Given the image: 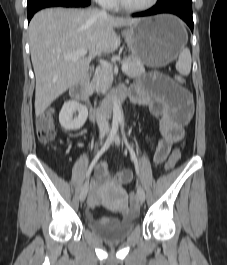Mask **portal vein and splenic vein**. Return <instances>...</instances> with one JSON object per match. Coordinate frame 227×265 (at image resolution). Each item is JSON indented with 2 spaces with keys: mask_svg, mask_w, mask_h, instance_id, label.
Wrapping results in <instances>:
<instances>
[{
  "mask_svg": "<svg viewBox=\"0 0 227 265\" xmlns=\"http://www.w3.org/2000/svg\"><path fill=\"white\" fill-rule=\"evenodd\" d=\"M87 54V51L85 49H81V50H77V51H73L71 53L65 54L64 58L67 60H77L80 57H84ZM100 64L104 67V68H108L109 67V63L106 61L101 60ZM122 71H126L128 69L127 64H122L121 67Z\"/></svg>",
  "mask_w": 227,
  "mask_h": 265,
  "instance_id": "1",
  "label": "portal vein and splenic vein"
}]
</instances>
